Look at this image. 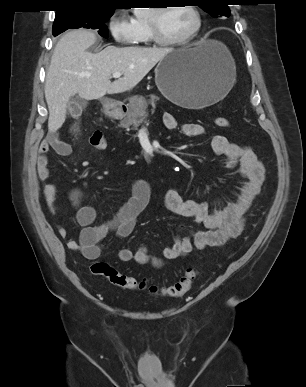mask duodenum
<instances>
[{
    "instance_id": "1",
    "label": "duodenum",
    "mask_w": 306,
    "mask_h": 387,
    "mask_svg": "<svg viewBox=\"0 0 306 387\" xmlns=\"http://www.w3.org/2000/svg\"><path fill=\"white\" fill-rule=\"evenodd\" d=\"M111 111L115 118H122L126 114V110L123 108H114Z\"/></svg>"
}]
</instances>
